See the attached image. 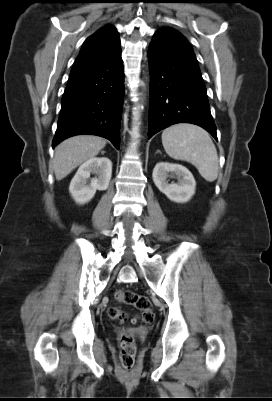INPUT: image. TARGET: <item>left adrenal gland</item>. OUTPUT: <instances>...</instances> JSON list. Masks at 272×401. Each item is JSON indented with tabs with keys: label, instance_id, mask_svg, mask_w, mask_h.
<instances>
[{
	"label": "left adrenal gland",
	"instance_id": "left-adrenal-gland-1",
	"mask_svg": "<svg viewBox=\"0 0 272 401\" xmlns=\"http://www.w3.org/2000/svg\"><path fill=\"white\" fill-rule=\"evenodd\" d=\"M156 153H160V154H161V151H160V150H157Z\"/></svg>",
	"mask_w": 272,
	"mask_h": 401
}]
</instances>
